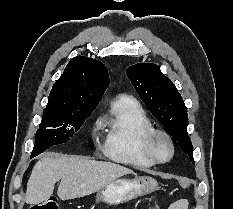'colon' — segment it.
Wrapping results in <instances>:
<instances>
[{
  "instance_id": "obj_1",
  "label": "colon",
  "mask_w": 233,
  "mask_h": 209,
  "mask_svg": "<svg viewBox=\"0 0 233 209\" xmlns=\"http://www.w3.org/2000/svg\"><path fill=\"white\" fill-rule=\"evenodd\" d=\"M30 209H58V205L55 199L49 198L41 203L34 204Z\"/></svg>"
}]
</instances>
